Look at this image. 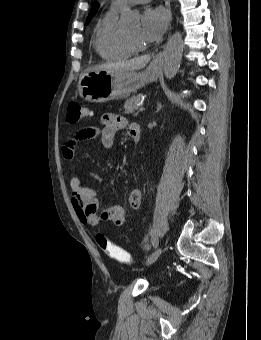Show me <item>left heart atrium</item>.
<instances>
[{
    "mask_svg": "<svg viewBox=\"0 0 261 340\" xmlns=\"http://www.w3.org/2000/svg\"><path fill=\"white\" fill-rule=\"evenodd\" d=\"M169 23V13L162 7L147 8L141 19L140 35L146 44L158 41Z\"/></svg>",
    "mask_w": 261,
    "mask_h": 340,
    "instance_id": "obj_1",
    "label": "left heart atrium"
}]
</instances>
